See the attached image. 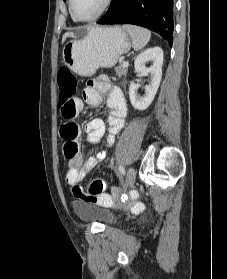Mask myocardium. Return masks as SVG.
<instances>
[{
	"label": "myocardium",
	"instance_id": "obj_1",
	"mask_svg": "<svg viewBox=\"0 0 227 279\" xmlns=\"http://www.w3.org/2000/svg\"><path fill=\"white\" fill-rule=\"evenodd\" d=\"M111 2H112V0H103V4H102L100 10L95 15H93V16H91L89 18H79L74 13V10H73V0H69V12H70L72 18L75 21H78V22H92V21L97 20L101 16H103L108 11V9L111 6Z\"/></svg>",
	"mask_w": 227,
	"mask_h": 279
}]
</instances>
